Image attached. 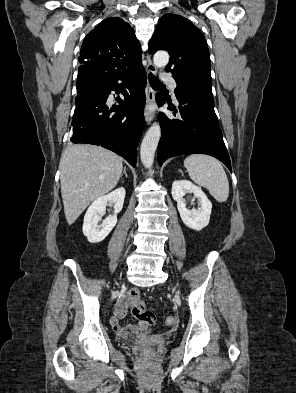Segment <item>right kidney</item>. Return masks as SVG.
I'll use <instances>...</instances> for the list:
<instances>
[{"label": "right kidney", "mask_w": 296, "mask_h": 393, "mask_svg": "<svg viewBox=\"0 0 296 393\" xmlns=\"http://www.w3.org/2000/svg\"><path fill=\"white\" fill-rule=\"evenodd\" d=\"M125 189L120 187L113 192L97 198L88 208L83 223V234L90 243H99L103 241L117 223V214L122 210ZM114 204V215L103 220L101 226H98L100 216L105 212L107 203Z\"/></svg>", "instance_id": "right-kidney-1"}]
</instances>
